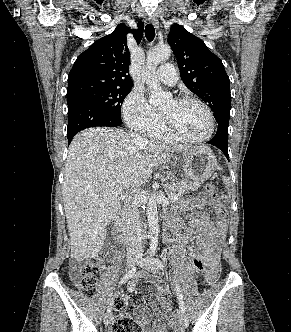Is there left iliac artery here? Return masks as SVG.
I'll list each match as a JSON object with an SVG mask.
<instances>
[{
  "label": "left iliac artery",
  "instance_id": "left-iliac-artery-1",
  "mask_svg": "<svg viewBox=\"0 0 291 332\" xmlns=\"http://www.w3.org/2000/svg\"><path fill=\"white\" fill-rule=\"evenodd\" d=\"M154 262L158 268L167 272V267L160 259L154 258ZM173 281L175 282V289H176V295H177V299H178V303H179V308H180L181 312L185 313V306H184L183 296L181 293L180 286H179V284H177V282L175 280H173Z\"/></svg>",
  "mask_w": 291,
  "mask_h": 332
}]
</instances>
